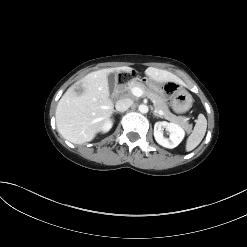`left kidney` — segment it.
I'll return each mask as SVG.
<instances>
[{
	"mask_svg": "<svg viewBox=\"0 0 247 247\" xmlns=\"http://www.w3.org/2000/svg\"><path fill=\"white\" fill-rule=\"evenodd\" d=\"M166 128L170 132L169 139L164 138L162 129ZM185 136L182 127L175 123H168L166 121L156 122L154 125V137L158 144L163 147L172 149L178 146Z\"/></svg>",
	"mask_w": 247,
	"mask_h": 247,
	"instance_id": "obj_1",
	"label": "left kidney"
}]
</instances>
